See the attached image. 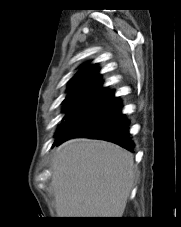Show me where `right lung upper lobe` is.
<instances>
[{
	"label": "right lung upper lobe",
	"instance_id": "1",
	"mask_svg": "<svg viewBox=\"0 0 181 227\" xmlns=\"http://www.w3.org/2000/svg\"><path fill=\"white\" fill-rule=\"evenodd\" d=\"M98 71L95 65H85L81 68L72 77L66 98L93 93L111 92L106 91V89L102 87Z\"/></svg>",
	"mask_w": 181,
	"mask_h": 227
}]
</instances>
